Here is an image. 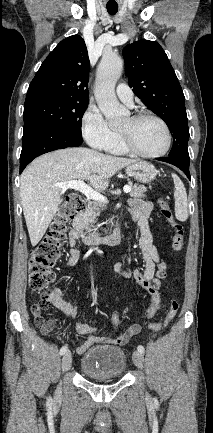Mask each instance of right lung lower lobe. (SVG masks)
<instances>
[{"label": "right lung lower lobe", "instance_id": "right-lung-lower-lobe-1", "mask_svg": "<svg viewBox=\"0 0 213 433\" xmlns=\"http://www.w3.org/2000/svg\"><path fill=\"white\" fill-rule=\"evenodd\" d=\"M81 144L82 139L46 122L39 120L24 122L20 173L30 161L44 153Z\"/></svg>", "mask_w": 213, "mask_h": 433}]
</instances>
